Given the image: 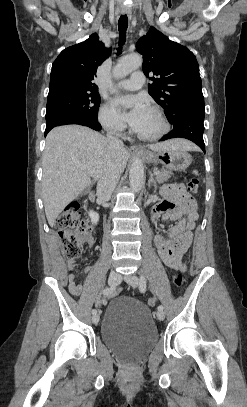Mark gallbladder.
I'll return each mask as SVG.
<instances>
[{
    "label": "gallbladder",
    "mask_w": 247,
    "mask_h": 407,
    "mask_svg": "<svg viewBox=\"0 0 247 407\" xmlns=\"http://www.w3.org/2000/svg\"><path fill=\"white\" fill-rule=\"evenodd\" d=\"M87 193V191H85L84 193H83V195H85Z\"/></svg>",
    "instance_id": "1"
}]
</instances>
